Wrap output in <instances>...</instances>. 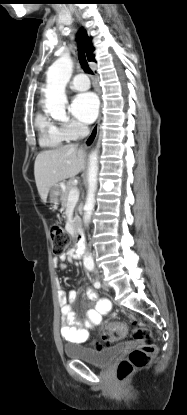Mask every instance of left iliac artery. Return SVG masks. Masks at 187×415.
<instances>
[{
  "label": "left iliac artery",
  "mask_w": 187,
  "mask_h": 415,
  "mask_svg": "<svg viewBox=\"0 0 187 415\" xmlns=\"http://www.w3.org/2000/svg\"><path fill=\"white\" fill-rule=\"evenodd\" d=\"M87 268L90 271H94L95 272V266H94V264L87 266ZM94 286H95V288H100V282L99 281H96L95 284H94Z\"/></svg>",
  "instance_id": "1"
}]
</instances>
